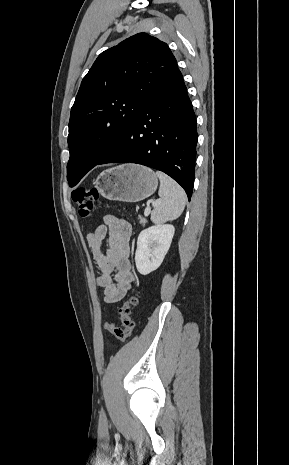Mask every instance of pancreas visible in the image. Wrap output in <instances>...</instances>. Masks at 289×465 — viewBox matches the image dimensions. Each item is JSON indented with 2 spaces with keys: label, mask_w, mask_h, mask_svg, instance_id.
<instances>
[{
  "label": "pancreas",
  "mask_w": 289,
  "mask_h": 465,
  "mask_svg": "<svg viewBox=\"0 0 289 465\" xmlns=\"http://www.w3.org/2000/svg\"><path fill=\"white\" fill-rule=\"evenodd\" d=\"M139 219H140V222H141V223H145V222H146V219H145V218H142L141 216H139Z\"/></svg>",
  "instance_id": "cf45deb5"
}]
</instances>
